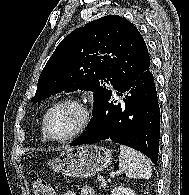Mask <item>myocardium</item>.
<instances>
[{
  "label": "myocardium",
  "mask_w": 189,
  "mask_h": 195,
  "mask_svg": "<svg viewBox=\"0 0 189 195\" xmlns=\"http://www.w3.org/2000/svg\"><path fill=\"white\" fill-rule=\"evenodd\" d=\"M67 104L75 105L82 111L83 118H82L81 124L71 134L64 136V137H55L51 134V132L49 130V125H48L49 118L54 110H56L58 107H60L62 105H67ZM92 117H93V115H92V111H91L89 105L87 103L83 102L81 99H78V98L62 99V100L56 102L55 104H53L48 109L46 114L44 115L43 131H44L47 139H49L53 142H68V141L78 137L79 135H81L88 128V126L91 123Z\"/></svg>",
  "instance_id": "myocardium-1"
}]
</instances>
